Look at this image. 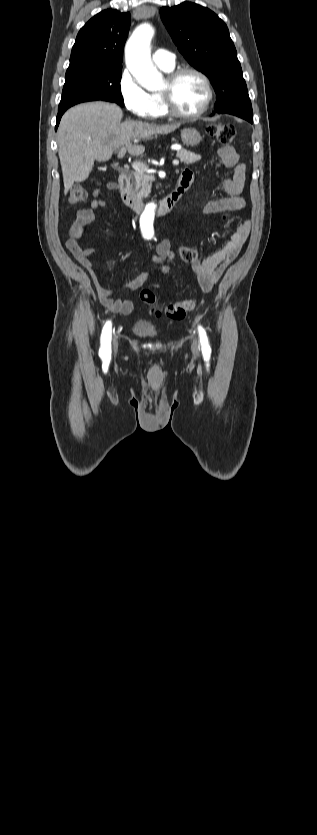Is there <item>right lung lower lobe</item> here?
<instances>
[{
  "label": "right lung lower lobe",
  "instance_id": "98d812e1",
  "mask_svg": "<svg viewBox=\"0 0 317 835\" xmlns=\"http://www.w3.org/2000/svg\"><path fill=\"white\" fill-rule=\"evenodd\" d=\"M104 101L113 102V101H111V100H104ZM67 109H68V108L63 109V110H58V114H57V122H56V129H57L58 125H59V122H60L61 116L63 115V113H64Z\"/></svg>",
  "mask_w": 317,
  "mask_h": 835
}]
</instances>
